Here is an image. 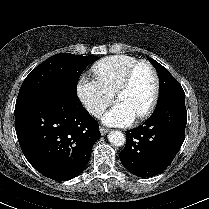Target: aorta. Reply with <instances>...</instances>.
<instances>
[{"mask_svg": "<svg viewBox=\"0 0 209 209\" xmlns=\"http://www.w3.org/2000/svg\"><path fill=\"white\" fill-rule=\"evenodd\" d=\"M109 142L114 146H122L125 143V136L121 131L113 130L108 135Z\"/></svg>", "mask_w": 209, "mask_h": 209, "instance_id": "obj_1", "label": "aorta"}]
</instances>
